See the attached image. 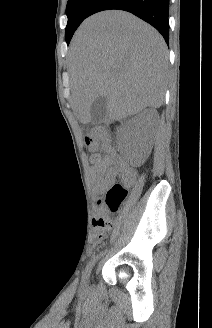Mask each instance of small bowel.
<instances>
[{
  "label": "small bowel",
  "mask_w": 212,
  "mask_h": 328,
  "mask_svg": "<svg viewBox=\"0 0 212 328\" xmlns=\"http://www.w3.org/2000/svg\"><path fill=\"white\" fill-rule=\"evenodd\" d=\"M93 150L95 153L90 157L91 175L100 189L108 188L117 176L121 177L127 184L133 182L135 171L124 163L111 146L98 144L93 146ZM96 219L94 226L99 229L96 226Z\"/></svg>",
  "instance_id": "obj_1"
}]
</instances>
